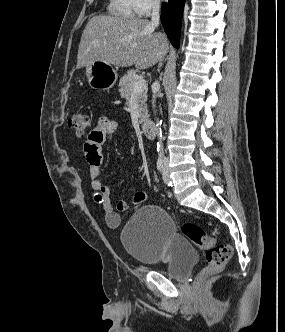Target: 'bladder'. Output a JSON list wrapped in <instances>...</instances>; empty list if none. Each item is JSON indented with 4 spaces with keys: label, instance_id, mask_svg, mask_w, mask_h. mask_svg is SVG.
I'll return each instance as SVG.
<instances>
[{
    "label": "bladder",
    "instance_id": "1",
    "mask_svg": "<svg viewBox=\"0 0 285 332\" xmlns=\"http://www.w3.org/2000/svg\"><path fill=\"white\" fill-rule=\"evenodd\" d=\"M126 252L143 264H163L172 278L185 277L197 259L194 247L175 231L170 214L157 205L140 207L121 234Z\"/></svg>",
    "mask_w": 285,
    "mask_h": 332
}]
</instances>
